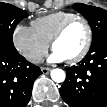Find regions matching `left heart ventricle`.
Returning <instances> with one entry per match:
<instances>
[{"instance_id":"1","label":"left heart ventricle","mask_w":107,"mask_h":107,"mask_svg":"<svg viewBox=\"0 0 107 107\" xmlns=\"http://www.w3.org/2000/svg\"><path fill=\"white\" fill-rule=\"evenodd\" d=\"M87 40V30L81 21L72 23L64 35L56 42L54 50L65 59L76 56L84 47Z\"/></svg>"}]
</instances>
